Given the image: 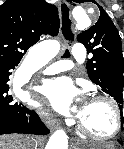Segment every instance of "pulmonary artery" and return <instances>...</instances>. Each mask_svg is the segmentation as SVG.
I'll return each mask as SVG.
<instances>
[{
  "instance_id": "1",
  "label": "pulmonary artery",
  "mask_w": 124,
  "mask_h": 149,
  "mask_svg": "<svg viewBox=\"0 0 124 149\" xmlns=\"http://www.w3.org/2000/svg\"><path fill=\"white\" fill-rule=\"evenodd\" d=\"M72 57L70 59H63L56 62H52L46 67H43L45 74H54L61 71L70 69L73 66V62L83 63L86 57V50L82 43H76L72 47Z\"/></svg>"
}]
</instances>
